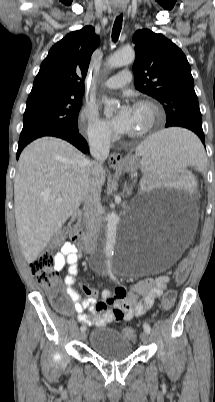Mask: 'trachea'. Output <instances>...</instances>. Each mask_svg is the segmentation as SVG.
<instances>
[{
  "label": "trachea",
  "instance_id": "3493384b",
  "mask_svg": "<svg viewBox=\"0 0 215 402\" xmlns=\"http://www.w3.org/2000/svg\"><path fill=\"white\" fill-rule=\"evenodd\" d=\"M122 14H120L118 17H116L114 25H113V29H112V40L113 42H116L119 38L120 35V31L122 29Z\"/></svg>",
  "mask_w": 215,
  "mask_h": 402
}]
</instances>
